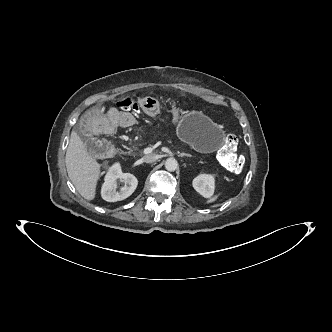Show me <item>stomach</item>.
Returning a JSON list of instances; mask_svg holds the SVG:
<instances>
[{
  "label": "stomach",
  "mask_w": 332,
  "mask_h": 332,
  "mask_svg": "<svg viewBox=\"0 0 332 332\" xmlns=\"http://www.w3.org/2000/svg\"><path fill=\"white\" fill-rule=\"evenodd\" d=\"M172 112L178 136L195 149L212 152L223 145V129L203 112L180 113L178 108H174Z\"/></svg>",
  "instance_id": "1"
}]
</instances>
